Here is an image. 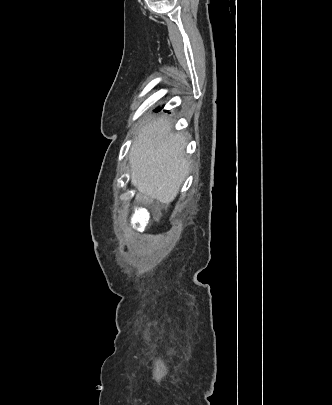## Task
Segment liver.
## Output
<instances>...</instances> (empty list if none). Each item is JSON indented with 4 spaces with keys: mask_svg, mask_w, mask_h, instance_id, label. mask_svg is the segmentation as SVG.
I'll return each instance as SVG.
<instances>
[{
    "mask_svg": "<svg viewBox=\"0 0 332 405\" xmlns=\"http://www.w3.org/2000/svg\"><path fill=\"white\" fill-rule=\"evenodd\" d=\"M187 137L166 116L148 120L131 146V182L144 196L169 204L189 173Z\"/></svg>",
    "mask_w": 332,
    "mask_h": 405,
    "instance_id": "obj_1",
    "label": "liver"
}]
</instances>
